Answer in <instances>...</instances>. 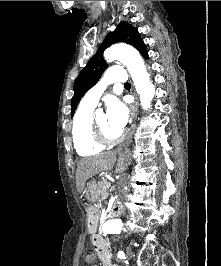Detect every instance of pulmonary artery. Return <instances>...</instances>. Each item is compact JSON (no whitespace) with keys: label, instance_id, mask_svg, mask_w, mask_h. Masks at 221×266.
<instances>
[{"label":"pulmonary artery","instance_id":"e3ab8cb5","mask_svg":"<svg viewBox=\"0 0 221 266\" xmlns=\"http://www.w3.org/2000/svg\"><path fill=\"white\" fill-rule=\"evenodd\" d=\"M126 78L127 76L122 66H111L103 75L101 80L85 94L81 101V104L94 108L97 105L100 96L103 94L110 83L125 82Z\"/></svg>","mask_w":221,"mask_h":266}]
</instances>
